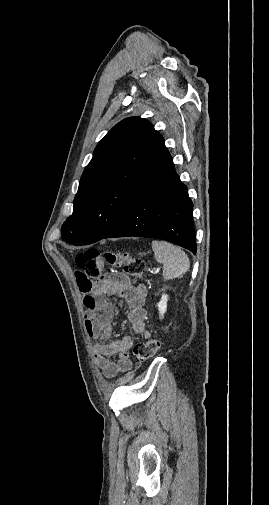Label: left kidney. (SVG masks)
I'll list each match as a JSON object with an SVG mask.
<instances>
[{
    "label": "left kidney",
    "mask_w": 269,
    "mask_h": 505,
    "mask_svg": "<svg viewBox=\"0 0 269 505\" xmlns=\"http://www.w3.org/2000/svg\"><path fill=\"white\" fill-rule=\"evenodd\" d=\"M167 301H168V295L163 294L161 296V300L157 304L160 318H163L165 312L167 311Z\"/></svg>",
    "instance_id": "obj_1"
}]
</instances>
